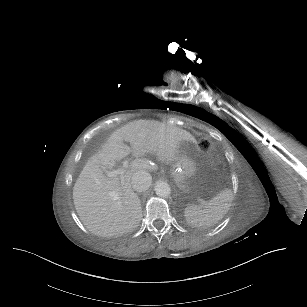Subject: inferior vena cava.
<instances>
[{"label": "inferior vena cava", "mask_w": 307, "mask_h": 307, "mask_svg": "<svg viewBox=\"0 0 307 307\" xmlns=\"http://www.w3.org/2000/svg\"><path fill=\"white\" fill-rule=\"evenodd\" d=\"M152 183L150 173L146 171L135 172L131 177L132 188L137 192H143L149 189Z\"/></svg>", "instance_id": "1"}]
</instances>
